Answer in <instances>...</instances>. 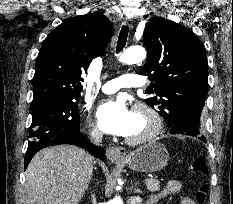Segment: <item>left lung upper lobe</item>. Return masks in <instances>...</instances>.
I'll return each mask as SVG.
<instances>
[{"mask_svg": "<svg viewBox=\"0 0 233 204\" xmlns=\"http://www.w3.org/2000/svg\"><path fill=\"white\" fill-rule=\"evenodd\" d=\"M149 55L140 75L153 81L156 97L145 99L168 124L172 110L181 103L196 104L199 118L208 93V62L205 49L196 35L183 25L161 17L150 18L144 30ZM173 134L197 136L199 128L177 126Z\"/></svg>", "mask_w": 233, "mask_h": 204, "instance_id": "left-lung-upper-lobe-1", "label": "left lung upper lobe"}]
</instances>
